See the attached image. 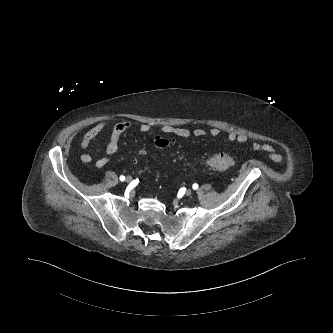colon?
<instances>
[{
	"label": "colon",
	"instance_id": "colon-1",
	"mask_svg": "<svg viewBox=\"0 0 333 333\" xmlns=\"http://www.w3.org/2000/svg\"><path fill=\"white\" fill-rule=\"evenodd\" d=\"M154 145L158 148H164L169 145V140L165 138H156ZM145 150H140V153H144ZM206 165L212 169L225 171L234 167L235 159L231 155L220 153L210 156L206 160Z\"/></svg>",
	"mask_w": 333,
	"mask_h": 333
}]
</instances>
